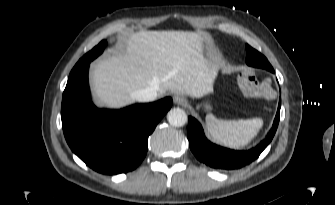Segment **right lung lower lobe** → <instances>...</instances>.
<instances>
[{
    "label": "right lung lower lobe",
    "mask_w": 335,
    "mask_h": 205,
    "mask_svg": "<svg viewBox=\"0 0 335 205\" xmlns=\"http://www.w3.org/2000/svg\"><path fill=\"white\" fill-rule=\"evenodd\" d=\"M89 63L70 73L62 96L61 119L71 150L103 174L134 170L144 159L148 137L172 106L166 97L121 110L98 109L88 89Z\"/></svg>",
    "instance_id": "obj_1"
}]
</instances>
